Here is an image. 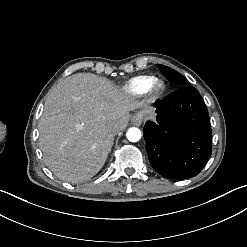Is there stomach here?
Returning <instances> with one entry per match:
<instances>
[{"instance_id": "0dacf381", "label": "stomach", "mask_w": 247, "mask_h": 247, "mask_svg": "<svg viewBox=\"0 0 247 247\" xmlns=\"http://www.w3.org/2000/svg\"><path fill=\"white\" fill-rule=\"evenodd\" d=\"M149 108H144L137 113V115L143 120L144 116L149 114Z\"/></svg>"}]
</instances>
